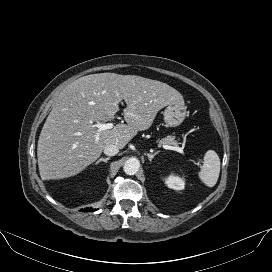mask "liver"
Listing matches in <instances>:
<instances>
[{
    "label": "liver",
    "instance_id": "liver-1",
    "mask_svg": "<svg viewBox=\"0 0 272 272\" xmlns=\"http://www.w3.org/2000/svg\"><path fill=\"white\" fill-rule=\"evenodd\" d=\"M124 100V119L101 131L99 121L112 119ZM173 103L184 104L182 95L166 83L137 75L99 73L83 76L58 96L39 136L37 157L43 180L74 176L92 164L105 146L123 149L137 135L151 127L157 113Z\"/></svg>",
    "mask_w": 272,
    "mask_h": 272
}]
</instances>
